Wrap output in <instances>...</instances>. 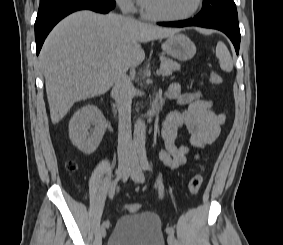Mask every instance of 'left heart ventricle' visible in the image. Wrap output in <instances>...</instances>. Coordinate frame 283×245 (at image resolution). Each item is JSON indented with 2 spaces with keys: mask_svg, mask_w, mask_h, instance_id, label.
<instances>
[{
  "mask_svg": "<svg viewBox=\"0 0 283 245\" xmlns=\"http://www.w3.org/2000/svg\"><path fill=\"white\" fill-rule=\"evenodd\" d=\"M196 0H143L145 8L157 15L179 16L190 11Z\"/></svg>",
  "mask_w": 283,
  "mask_h": 245,
  "instance_id": "1",
  "label": "left heart ventricle"
}]
</instances>
